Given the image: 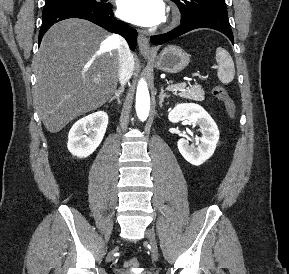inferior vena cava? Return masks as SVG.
<instances>
[{
	"instance_id": "602c4592",
	"label": "inferior vena cava",
	"mask_w": 289,
	"mask_h": 274,
	"mask_svg": "<svg viewBox=\"0 0 289 274\" xmlns=\"http://www.w3.org/2000/svg\"><path fill=\"white\" fill-rule=\"evenodd\" d=\"M111 40L117 44L120 63L119 82L123 86L132 76L134 68L133 55L124 39L118 35H113Z\"/></svg>"
}]
</instances>
